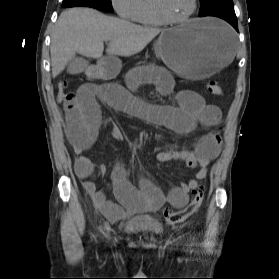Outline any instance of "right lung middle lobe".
<instances>
[{
	"label": "right lung middle lobe",
	"mask_w": 279,
	"mask_h": 279,
	"mask_svg": "<svg viewBox=\"0 0 279 279\" xmlns=\"http://www.w3.org/2000/svg\"><path fill=\"white\" fill-rule=\"evenodd\" d=\"M92 1H94L98 6H100L105 11L108 12L113 11L111 0H92Z\"/></svg>",
	"instance_id": "dd1d6c3e"
}]
</instances>
